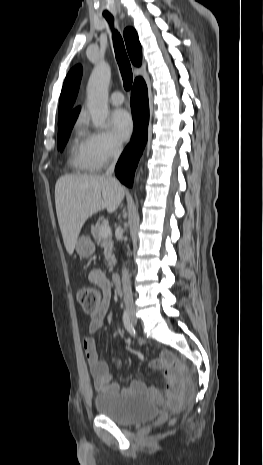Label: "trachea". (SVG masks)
I'll use <instances>...</instances> for the list:
<instances>
[{
    "instance_id": "trachea-1",
    "label": "trachea",
    "mask_w": 263,
    "mask_h": 465,
    "mask_svg": "<svg viewBox=\"0 0 263 465\" xmlns=\"http://www.w3.org/2000/svg\"><path fill=\"white\" fill-rule=\"evenodd\" d=\"M105 19L108 23L113 27L114 18L112 16H105ZM113 45L117 63L119 65V69L123 79V85L125 90H130L133 82V74L130 65V61L128 59L124 42L121 35L118 31L113 29Z\"/></svg>"
}]
</instances>
